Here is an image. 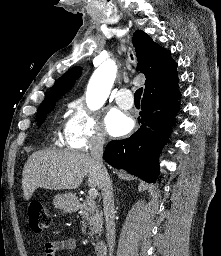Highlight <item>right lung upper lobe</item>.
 <instances>
[{"label":"right lung upper lobe","mask_w":221,"mask_h":256,"mask_svg":"<svg viewBox=\"0 0 221 256\" xmlns=\"http://www.w3.org/2000/svg\"><path fill=\"white\" fill-rule=\"evenodd\" d=\"M132 41L138 60L137 70L146 76L144 96L177 88V63L171 58V53L153 42L141 30L134 33ZM81 72V67H74L62 75L44 100L65 94L80 77Z\"/></svg>","instance_id":"1"}]
</instances>
